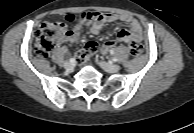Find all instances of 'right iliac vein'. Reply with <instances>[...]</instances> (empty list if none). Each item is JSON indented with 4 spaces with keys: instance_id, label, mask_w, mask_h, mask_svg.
I'll return each mask as SVG.
<instances>
[{
    "instance_id": "63e3f726",
    "label": "right iliac vein",
    "mask_w": 194,
    "mask_h": 133,
    "mask_svg": "<svg viewBox=\"0 0 194 133\" xmlns=\"http://www.w3.org/2000/svg\"><path fill=\"white\" fill-rule=\"evenodd\" d=\"M64 68L68 71V72H72L74 69V65L70 62H66L64 63Z\"/></svg>"
}]
</instances>
